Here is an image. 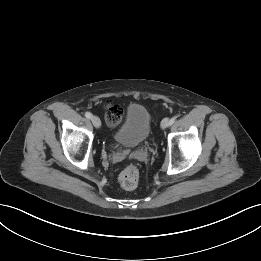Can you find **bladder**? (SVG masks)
<instances>
[{
    "label": "bladder",
    "mask_w": 261,
    "mask_h": 261,
    "mask_svg": "<svg viewBox=\"0 0 261 261\" xmlns=\"http://www.w3.org/2000/svg\"><path fill=\"white\" fill-rule=\"evenodd\" d=\"M151 132V116L147 108L141 104H131L126 110L121 124L115 129L114 140L128 148L143 144Z\"/></svg>",
    "instance_id": "1"
}]
</instances>
